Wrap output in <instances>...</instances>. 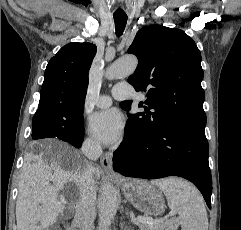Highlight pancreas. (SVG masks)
<instances>
[{"label": "pancreas", "instance_id": "cf45deb5", "mask_svg": "<svg viewBox=\"0 0 241 230\" xmlns=\"http://www.w3.org/2000/svg\"><path fill=\"white\" fill-rule=\"evenodd\" d=\"M178 221L176 219L166 220L159 225L150 226L148 224H140V230H177Z\"/></svg>", "mask_w": 241, "mask_h": 230}]
</instances>
